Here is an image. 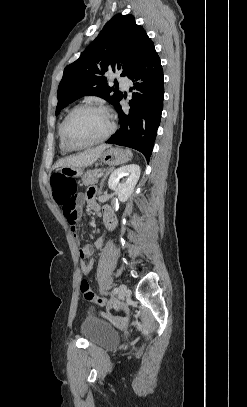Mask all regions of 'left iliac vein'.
Instances as JSON below:
<instances>
[{"instance_id": "left-iliac-vein-1", "label": "left iliac vein", "mask_w": 247, "mask_h": 407, "mask_svg": "<svg viewBox=\"0 0 247 407\" xmlns=\"http://www.w3.org/2000/svg\"><path fill=\"white\" fill-rule=\"evenodd\" d=\"M118 289H119L118 297H119V299L122 300L128 294V292H129L128 288L125 284H120Z\"/></svg>"}]
</instances>
